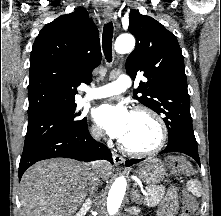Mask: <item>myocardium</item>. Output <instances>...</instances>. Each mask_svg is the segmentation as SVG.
<instances>
[{
	"instance_id": "f54148a6",
	"label": "myocardium",
	"mask_w": 221,
	"mask_h": 216,
	"mask_svg": "<svg viewBox=\"0 0 221 216\" xmlns=\"http://www.w3.org/2000/svg\"><path fill=\"white\" fill-rule=\"evenodd\" d=\"M133 114H145L150 118H152L158 126L159 139L153 147L148 149H134L127 146L121 140L119 143L121 150L129 155H134V156H147L160 151L164 147L168 139V129L163 118L154 109L144 105L135 107L133 110Z\"/></svg>"
}]
</instances>
